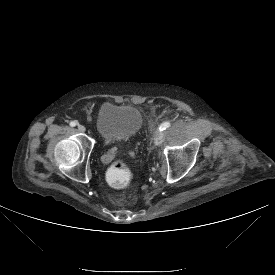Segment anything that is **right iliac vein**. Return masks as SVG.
<instances>
[{
	"label": "right iliac vein",
	"mask_w": 275,
	"mask_h": 275,
	"mask_svg": "<svg viewBox=\"0 0 275 275\" xmlns=\"http://www.w3.org/2000/svg\"><path fill=\"white\" fill-rule=\"evenodd\" d=\"M78 130L80 132H85L86 131V128L83 126V125H78Z\"/></svg>",
	"instance_id": "1"
}]
</instances>
